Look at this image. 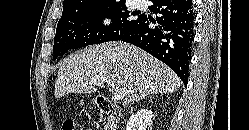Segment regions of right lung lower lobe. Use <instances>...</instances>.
Listing matches in <instances>:
<instances>
[{"label":"right lung lower lobe","instance_id":"1","mask_svg":"<svg viewBox=\"0 0 249 130\" xmlns=\"http://www.w3.org/2000/svg\"><path fill=\"white\" fill-rule=\"evenodd\" d=\"M155 20H140L119 40L131 43L167 64L186 85L194 37V10L190 0H152ZM153 22L155 28H149Z\"/></svg>","mask_w":249,"mask_h":130}]
</instances>
